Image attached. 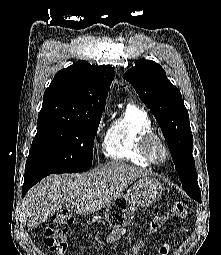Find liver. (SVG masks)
<instances>
[{
  "instance_id": "liver-1",
  "label": "liver",
  "mask_w": 221,
  "mask_h": 255,
  "mask_svg": "<svg viewBox=\"0 0 221 255\" xmlns=\"http://www.w3.org/2000/svg\"><path fill=\"white\" fill-rule=\"evenodd\" d=\"M148 174L143 168L114 161L87 173L50 175L25 196L27 225L35 228L62 208H75L79 215L98 212Z\"/></svg>"
}]
</instances>
